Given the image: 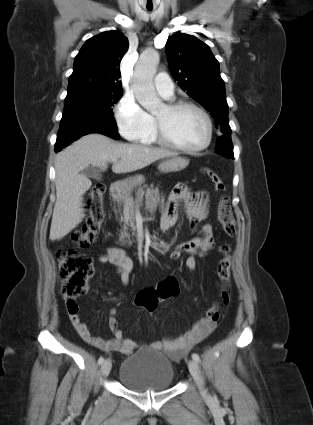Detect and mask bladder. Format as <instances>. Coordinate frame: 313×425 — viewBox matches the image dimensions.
<instances>
[{"label": "bladder", "mask_w": 313, "mask_h": 425, "mask_svg": "<svg viewBox=\"0 0 313 425\" xmlns=\"http://www.w3.org/2000/svg\"><path fill=\"white\" fill-rule=\"evenodd\" d=\"M118 379L134 392L162 391L172 386L175 372L164 353L146 348L123 360Z\"/></svg>", "instance_id": "obj_1"}]
</instances>
